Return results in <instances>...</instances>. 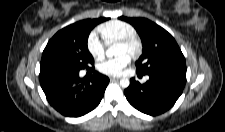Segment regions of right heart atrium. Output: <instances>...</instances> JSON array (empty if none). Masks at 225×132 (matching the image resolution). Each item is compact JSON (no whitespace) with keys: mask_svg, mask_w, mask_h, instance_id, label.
<instances>
[{"mask_svg":"<svg viewBox=\"0 0 225 132\" xmlns=\"http://www.w3.org/2000/svg\"><path fill=\"white\" fill-rule=\"evenodd\" d=\"M87 49L95 59H102L105 55V47L98 35L92 32L87 38Z\"/></svg>","mask_w":225,"mask_h":132,"instance_id":"right-heart-atrium-1","label":"right heart atrium"}]
</instances>
